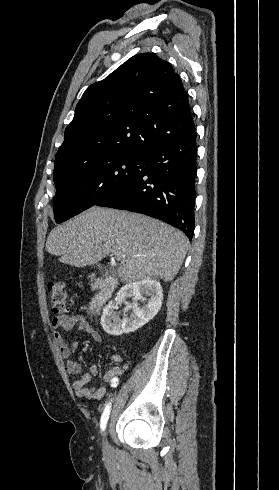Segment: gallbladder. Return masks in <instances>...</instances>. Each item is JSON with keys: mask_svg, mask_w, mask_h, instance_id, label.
<instances>
[{"mask_svg": "<svg viewBox=\"0 0 279 490\" xmlns=\"http://www.w3.org/2000/svg\"><path fill=\"white\" fill-rule=\"evenodd\" d=\"M101 276H110L111 272L110 270H100Z\"/></svg>", "mask_w": 279, "mask_h": 490, "instance_id": "bac80fb5", "label": "gallbladder"}]
</instances>
